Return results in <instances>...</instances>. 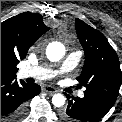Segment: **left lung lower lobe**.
Returning <instances> with one entry per match:
<instances>
[{"mask_svg":"<svg viewBox=\"0 0 122 122\" xmlns=\"http://www.w3.org/2000/svg\"><path fill=\"white\" fill-rule=\"evenodd\" d=\"M69 99V95L65 94ZM83 98L69 100L68 106L61 112L65 122H94L105 116L113 106V102L92 94H84Z\"/></svg>","mask_w":122,"mask_h":122,"instance_id":"1","label":"left lung lower lobe"}]
</instances>
